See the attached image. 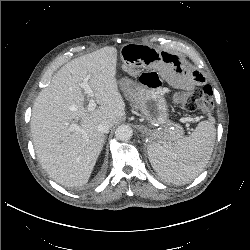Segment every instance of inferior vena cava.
<instances>
[{"instance_id":"1","label":"inferior vena cava","mask_w":250,"mask_h":250,"mask_svg":"<svg viewBox=\"0 0 250 250\" xmlns=\"http://www.w3.org/2000/svg\"><path fill=\"white\" fill-rule=\"evenodd\" d=\"M110 127L111 124L109 122L104 121L98 125V131H100L101 133H108Z\"/></svg>"}]
</instances>
